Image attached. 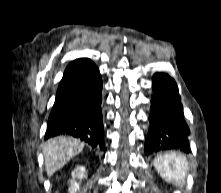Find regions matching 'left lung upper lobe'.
<instances>
[{"instance_id":"1","label":"left lung upper lobe","mask_w":221,"mask_h":193,"mask_svg":"<svg viewBox=\"0 0 221 193\" xmlns=\"http://www.w3.org/2000/svg\"><path fill=\"white\" fill-rule=\"evenodd\" d=\"M165 118H167V119H168V118H169V116H167V115H166V116H165ZM163 150H166V149H163Z\"/></svg>"}]
</instances>
